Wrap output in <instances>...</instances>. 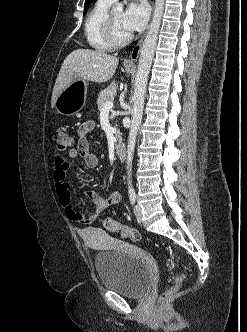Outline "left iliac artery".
<instances>
[{"label": "left iliac artery", "instance_id": "left-iliac-artery-1", "mask_svg": "<svg viewBox=\"0 0 247 332\" xmlns=\"http://www.w3.org/2000/svg\"><path fill=\"white\" fill-rule=\"evenodd\" d=\"M129 199H130L131 204L135 203V201H136V193H135L134 189H130L129 190Z\"/></svg>", "mask_w": 247, "mask_h": 332}]
</instances>
